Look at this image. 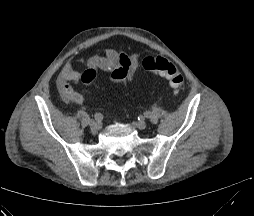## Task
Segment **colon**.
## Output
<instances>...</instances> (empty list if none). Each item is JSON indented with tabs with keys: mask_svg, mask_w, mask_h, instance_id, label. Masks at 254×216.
<instances>
[{
	"mask_svg": "<svg viewBox=\"0 0 254 216\" xmlns=\"http://www.w3.org/2000/svg\"><path fill=\"white\" fill-rule=\"evenodd\" d=\"M142 66L145 70L152 74L165 78L171 86L174 94H179L184 87V78L178 71L176 66L164 57L149 56L142 61ZM97 77V72L94 69H86L81 75V81L84 84H91Z\"/></svg>",
	"mask_w": 254,
	"mask_h": 216,
	"instance_id": "5ec220e1",
	"label": "colon"
}]
</instances>
